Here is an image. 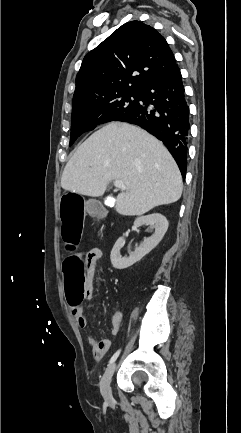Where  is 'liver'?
Instances as JSON below:
<instances>
[{
    "label": "liver",
    "instance_id": "liver-1",
    "mask_svg": "<svg viewBox=\"0 0 241 433\" xmlns=\"http://www.w3.org/2000/svg\"><path fill=\"white\" fill-rule=\"evenodd\" d=\"M112 180L128 190L117 196L116 211L140 216L152 208L178 201L183 183L166 147L145 130L120 122L109 123L82 143L65 166L61 187L99 197Z\"/></svg>",
    "mask_w": 241,
    "mask_h": 433
}]
</instances>
